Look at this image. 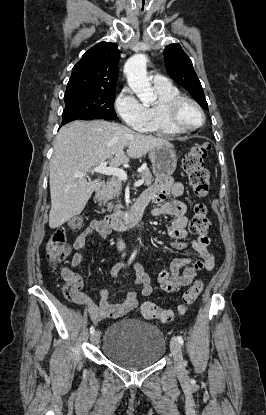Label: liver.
Segmentation results:
<instances>
[{
  "label": "liver",
  "mask_w": 266,
  "mask_h": 415,
  "mask_svg": "<svg viewBox=\"0 0 266 415\" xmlns=\"http://www.w3.org/2000/svg\"><path fill=\"white\" fill-rule=\"evenodd\" d=\"M159 145L172 147L167 140L105 120H77L63 126L56 137L50 161L49 227L58 228L80 214L96 188V181L74 177L75 173L90 172L106 160L111 166L118 167L129 158H139Z\"/></svg>",
  "instance_id": "liver-1"
}]
</instances>
